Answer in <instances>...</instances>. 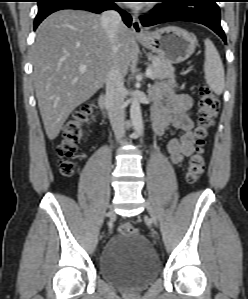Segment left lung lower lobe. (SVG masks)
<instances>
[{
  "label": "left lung lower lobe",
  "mask_w": 248,
  "mask_h": 299,
  "mask_svg": "<svg viewBox=\"0 0 248 299\" xmlns=\"http://www.w3.org/2000/svg\"><path fill=\"white\" fill-rule=\"evenodd\" d=\"M162 4L156 12L140 17L143 26H152L169 21H189L203 24L212 29L226 43L220 25V10L217 0H159Z\"/></svg>",
  "instance_id": "0a47b994"
}]
</instances>
